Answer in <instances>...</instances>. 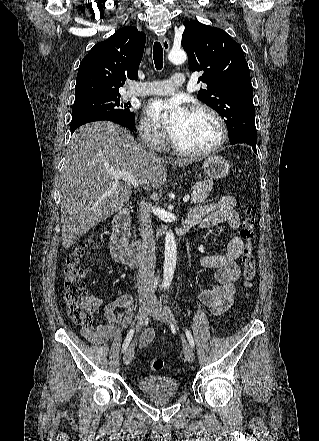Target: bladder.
Instances as JSON below:
<instances>
[{
  "label": "bladder",
  "instance_id": "obj_1",
  "mask_svg": "<svg viewBox=\"0 0 319 441\" xmlns=\"http://www.w3.org/2000/svg\"><path fill=\"white\" fill-rule=\"evenodd\" d=\"M138 389L150 398L173 397L178 394L179 383L168 377L150 375L139 379Z\"/></svg>",
  "mask_w": 319,
  "mask_h": 441
}]
</instances>
